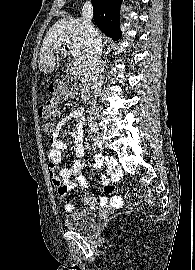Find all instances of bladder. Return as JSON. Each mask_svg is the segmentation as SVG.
I'll return each instance as SVG.
<instances>
[{"instance_id":"obj_1","label":"bladder","mask_w":195,"mask_h":270,"mask_svg":"<svg viewBox=\"0 0 195 270\" xmlns=\"http://www.w3.org/2000/svg\"><path fill=\"white\" fill-rule=\"evenodd\" d=\"M98 215L94 210L69 212L64 217V224L73 231H88L97 221Z\"/></svg>"}]
</instances>
